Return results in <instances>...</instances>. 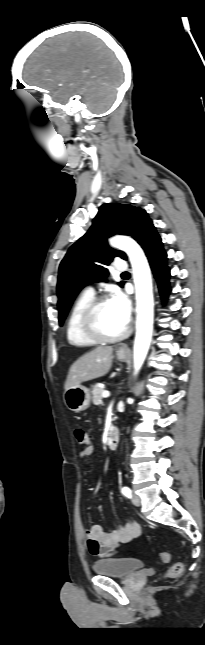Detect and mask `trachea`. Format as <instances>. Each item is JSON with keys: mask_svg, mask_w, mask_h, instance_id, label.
I'll return each mask as SVG.
<instances>
[{"mask_svg": "<svg viewBox=\"0 0 205 645\" xmlns=\"http://www.w3.org/2000/svg\"><path fill=\"white\" fill-rule=\"evenodd\" d=\"M127 274H128V272H124V273H122V275H127Z\"/></svg>", "mask_w": 205, "mask_h": 645, "instance_id": "1", "label": "trachea"}]
</instances>
